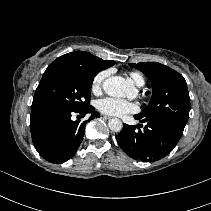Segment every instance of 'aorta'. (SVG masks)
<instances>
[{"mask_svg":"<svg viewBox=\"0 0 211 211\" xmlns=\"http://www.w3.org/2000/svg\"><path fill=\"white\" fill-rule=\"evenodd\" d=\"M131 87L130 81L120 76H113L103 82V90L109 96L124 97ZM108 126L112 131H121L123 124L118 118H112L108 121Z\"/></svg>","mask_w":211,"mask_h":211,"instance_id":"1","label":"aorta"}]
</instances>
